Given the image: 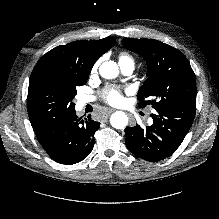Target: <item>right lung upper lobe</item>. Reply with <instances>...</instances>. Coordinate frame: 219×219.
<instances>
[{
	"mask_svg": "<svg viewBox=\"0 0 219 219\" xmlns=\"http://www.w3.org/2000/svg\"><path fill=\"white\" fill-rule=\"evenodd\" d=\"M115 42L114 38L106 37L58 46L40 58L32 73L50 71L54 78L64 83L85 82L97 59Z\"/></svg>",
	"mask_w": 219,
	"mask_h": 219,
	"instance_id": "obj_1",
	"label": "right lung upper lobe"
}]
</instances>
